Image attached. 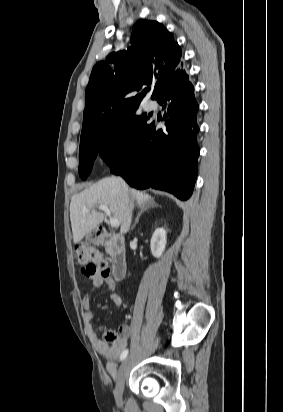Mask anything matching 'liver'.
Here are the masks:
<instances>
[{
    "label": "liver",
    "instance_id": "obj_1",
    "mask_svg": "<svg viewBox=\"0 0 283 412\" xmlns=\"http://www.w3.org/2000/svg\"><path fill=\"white\" fill-rule=\"evenodd\" d=\"M130 199L133 202L132 206L129 203ZM134 201L142 207L153 202V199L146 193L124 188L118 177L104 178L73 195L70 203V221L74 243L80 242L86 234L102 223L104 215L96 210L102 205L107 206L114 219L119 221L121 234H126L130 229ZM84 208L89 209V212H84Z\"/></svg>",
    "mask_w": 283,
    "mask_h": 412
}]
</instances>
